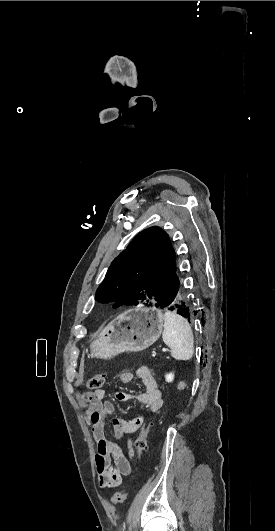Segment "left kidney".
Returning a JSON list of instances; mask_svg holds the SVG:
<instances>
[{
  "label": "left kidney",
  "mask_w": 275,
  "mask_h": 531,
  "mask_svg": "<svg viewBox=\"0 0 275 531\" xmlns=\"http://www.w3.org/2000/svg\"><path fill=\"white\" fill-rule=\"evenodd\" d=\"M165 379H166L167 383H172V381L174 379L173 373H168V375H165Z\"/></svg>",
  "instance_id": "left-kidney-1"
}]
</instances>
